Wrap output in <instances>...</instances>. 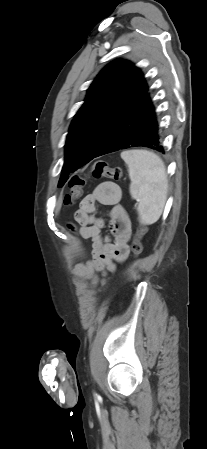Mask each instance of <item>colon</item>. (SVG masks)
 Wrapping results in <instances>:
<instances>
[{
	"mask_svg": "<svg viewBox=\"0 0 207 449\" xmlns=\"http://www.w3.org/2000/svg\"><path fill=\"white\" fill-rule=\"evenodd\" d=\"M89 175L95 179L108 178L114 181L123 179V173L120 168H113L107 162L99 160L92 164L89 170ZM86 184V175H74L69 181L70 192L64 196L63 202L65 206H72L75 201L82 195L83 187ZM145 227H142L136 233L131 249L133 255L138 257L143 249L142 237L145 233Z\"/></svg>",
	"mask_w": 207,
	"mask_h": 449,
	"instance_id": "1",
	"label": "colon"
}]
</instances>
